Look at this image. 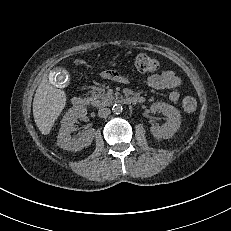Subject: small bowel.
<instances>
[{
    "mask_svg": "<svg viewBox=\"0 0 231 231\" xmlns=\"http://www.w3.org/2000/svg\"><path fill=\"white\" fill-rule=\"evenodd\" d=\"M101 77L125 84L129 82L127 77L114 70L103 71ZM146 84L157 90H171L169 99L172 102H177L180 98L178 88L181 86L182 81L174 71L164 70L159 73L151 74L147 77Z\"/></svg>",
    "mask_w": 231,
    "mask_h": 231,
    "instance_id": "obj_1",
    "label": "small bowel"
}]
</instances>
